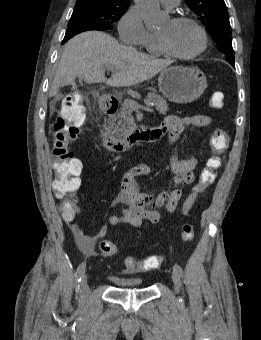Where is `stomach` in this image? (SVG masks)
<instances>
[{
    "mask_svg": "<svg viewBox=\"0 0 261 340\" xmlns=\"http://www.w3.org/2000/svg\"><path fill=\"white\" fill-rule=\"evenodd\" d=\"M159 91L168 100L187 104L196 101L206 90L207 79L197 68L172 66L161 71Z\"/></svg>",
    "mask_w": 261,
    "mask_h": 340,
    "instance_id": "1",
    "label": "stomach"
}]
</instances>
